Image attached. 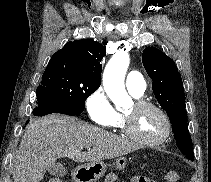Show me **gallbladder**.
<instances>
[{"instance_id":"1","label":"gallbladder","mask_w":211,"mask_h":182,"mask_svg":"<svg viewBox=\"0 0 211 182\" xmlns=\"http://www.w3.org/2000/svg\"><path fill=\"white\" fill-rule=\"evenodd\" d=\"M48 172L51 175L63 177L65 175V169L61 163H53L49 168Z\"/></svg>"}]
</instances>
